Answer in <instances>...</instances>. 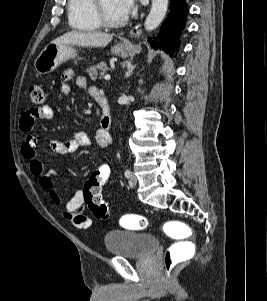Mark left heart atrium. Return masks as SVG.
Segmentation results:
<instances>
[{
    "mask_svg": "<svg viewBox=\"0 0 267 301\" xmlns=\"http://www.w3.org/2000/svg\"><path fill=\"white\" fill-rule=\"evenodd\" d=\"M113 1H114L115 9L122 17H126L132 13L134 8V0H113Z\"/></svg>",
    "mask_w": 267,
    "mask_h": 301,
    "instance_id": "obj_1",
    "label": "left heart atrium"
}]
</instances>
